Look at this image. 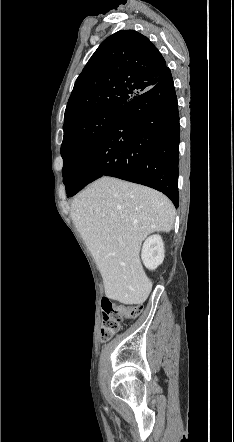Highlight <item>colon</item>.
<instances>
[{
    "mask_svg": "<svg viewBox=\"0 0 234 442\" xmlns=\"http://www.w3.org/2000/svg\"><path fill=\"white\" fill-rule=\"evenodd\" d=\"M102 310L103 325L101 335L103 340L107 341L118 332L121 323L125 319L138 317L143 310V306L142 304L115 305L110 300H104L102 302Z\"/></svg>",
    "mask_w": 234,
    "mask_h": 442,
    "instance_id": "5ec220e1",
    "label": "colon"
}]
</instances>
